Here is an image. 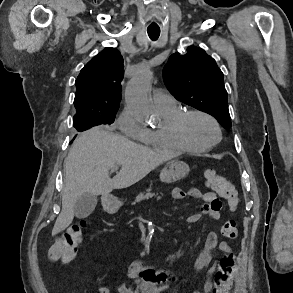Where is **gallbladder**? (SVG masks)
Returning a JSON list of instances; mask_svg holds the SVG:
<instances>
[{"mask_svg": "<svg viewBox=\"0 0 293 293\" xmlns=\"http://www.w3.org/2000/svg\"><path fill=\"white\" fill-rule=\"evenodd\" d=\"M98 199L96 196L86 193L80 196L74 207V214L77 218L88 217L95 209Z\"/></svg>", "mask_w": 293, "mask_h": 293, "instance_id": "gallbladder-1", "label": "gallbladder"}]
</instances>
